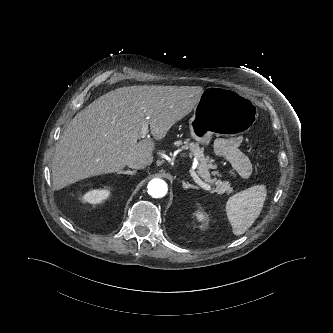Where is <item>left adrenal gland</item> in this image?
I'll list each match as a JSON object with an SVG mask.
<instances>
[{
  "label": "left adrenal gland",
  "instance_id": "obj_1",
  "mask_svg": "<svg viewBox=\"0 0 333 333\" xmlns=\"http://www.w3.org/2000/svg\"><path fill=\"white\" fill-rule=\"evenodd\" d=\"M182 186L184 189H189V188L198 189L197 186H194V185L190 184L189 182H185L184 180L182 181Z\"/></svg>",
  "mask_w": 333,
  "mask_h": 333
}]
</instances>
